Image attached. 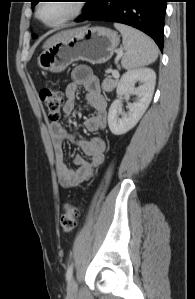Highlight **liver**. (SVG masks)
<instances>
[{
    "label": "liver",
    "mask_w": 195,
    "mask_h": 299,
    "mask_svg": "<svg viewBox=\"0 0 195 299\" xmlns=\"http://www.w3.org/2000/svg\"><path fill=\"white\" fill-rule=\"evenodd\" d=\"M70 32L69 31H62V32H59L55 35H53L52 37H50L43 45V48H48L50 47L51 45L55 44L57 41H59L63 36L67 35L68 33Z\"/></svg>",
    "instance_id": "liver-1"
}]
</instances>
